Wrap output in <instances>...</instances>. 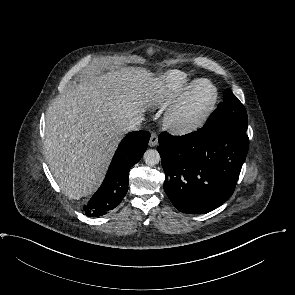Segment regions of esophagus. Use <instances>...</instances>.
Returning a JSON list of instances; mask_svg holds the SVG:
<instances>
[{
  "label": "esophagus",
  "instance_id": "obj_1",
  "mask_svg": "<svg viewBox=\"0 0 295 295\" xmlns=\"http://www.w3.org/2000/svg\"><path fill=\"white\" fill-rule=\"evenodd\" d=\"M157 145H158V135L156 133H152L149 140V146L155 147Z\"/></svg>",
  "mask_w": 295,
  "mask_h": 295
}]
</instances>
